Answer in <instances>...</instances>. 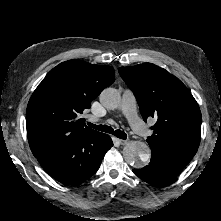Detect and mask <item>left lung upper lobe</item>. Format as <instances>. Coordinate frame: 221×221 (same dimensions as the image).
I'll use <instances>...</instances> for the list:
<instances>
[{
  "instance_id": "left-lung-upper-lobe-1",
  "label": "left lung upper lobe",
  "mask_w": 221,
  "mask_h": 221,
  "mask_svg": "<svg viewBox=\"0 0 221 221\" xmlns=\"http://www.w3.org/2000/svg\"><path fill=\"white\" fill-rule=\"evenodd\" d=\"M122 79L134 92L144 121H157L147 138L152 155L184 168L196 154L201 135V112L188 88L152 63L120 67Z\"/></svg>"
}]
</instances>
